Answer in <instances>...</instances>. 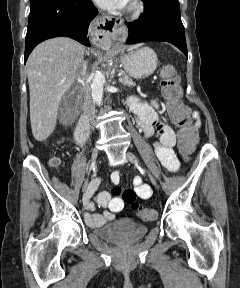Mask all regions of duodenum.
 Returning a JSON list of instances; mask_svg holds the SVG:
<instances>
[{"label": "duodenum", "instance_id": "410a0bca", "mask_svg": "<svg viewBox=\"0 0 240 288\" xmlns=\"http://www.w3.org/2000/svg\"><path fill=\"white\" fill-rule=\"evenodd\" d=\"M88 137V121L87 117L83 115L75 130V138L78 143H84Z\"/></svg>", "mask_w": 240, "mask_h": 288}]
</instances>
